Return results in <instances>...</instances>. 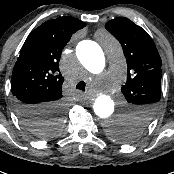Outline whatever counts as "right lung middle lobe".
I'll use <instances>...</instances> for the list:
<instances>
[{
    "mask_svg": "<svg viewBox=\"0 0 174 174\" xmlns=\"http://www.w3.org/2000/svg\"><path fill=\"white\" fill-rule=\"evenodd\" d=\"M58 119V118H57ZM31 126L30 128L36 133L41 134L44 133L45 135H52L55 132L58 131V128L60 126V121H51L50 123H43L39 120H34L31 122H28ZM35 123V124H34Z\"/></svg>",
    "mask_w": 174,
    "mask_h": 174,
    "instance_id": "right-lung-middle-lobe-1",
    "label": "right lung middle lobe"
}]
</instances>
